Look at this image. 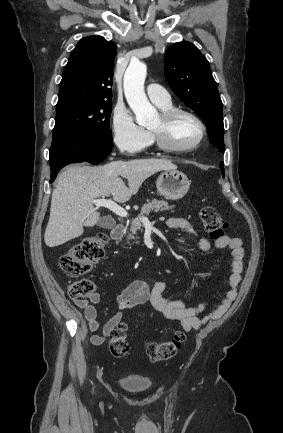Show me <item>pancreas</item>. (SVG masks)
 Segmentation results:
<instances>
[{
    "label": "pancreas",
    "mask_w": 283,
    "mask_h": 433,
    "mask_svg": "<svg viewBox=\"0 0 283 433\" xmlns=\"http://www.w3.org/2000/svg\"><path fill=\"white\" fill-rule=\"evenodd\" d=\"M169 208H173V206H168L167 200H156V198L143 204L138 219H135V221L131 223L128 239H136L134 235H137V231H142L141 227H143V225H141V219L144 217V214H149L151 210L158 212V210H169Z\"/></svg>",
    "instance_id": "pancreas-1"
}]
</instances>
